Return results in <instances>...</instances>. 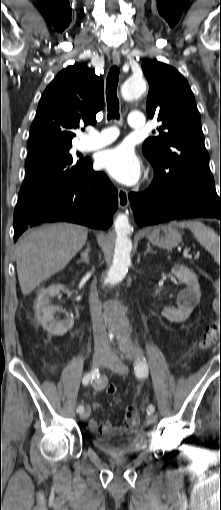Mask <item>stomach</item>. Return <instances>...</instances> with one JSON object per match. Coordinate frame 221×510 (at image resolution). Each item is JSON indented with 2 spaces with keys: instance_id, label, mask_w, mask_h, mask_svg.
I'll use <instances>...</instances> for the list:
<instances>
[{
  "instance_id": "obj_1",
  "label": "stomach",
  "mask_w": 221,
  "mask_h": 510,
  "mask_svg": "<svg viewBox=\"0 0 221 510\" xmlns=\"http://www.w3.org/2000/svg\"><path fill=\"white\" fill-rule=\"evenodd\" d=\"M147 238L155 246L172 249L181 242V233L171 225H159L147 235Z\"/></svg>"
}]
</instances>
